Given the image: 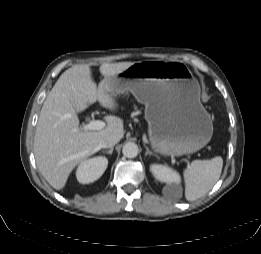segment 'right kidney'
I'll use <instances>...</instances> for the list:
<instances>
[{"label": "right kidney", "instance_id": "ca27d5eb", "mask_svg": "<svg viewBox=\"0 0 261 254\" xmlns=\"http://www.w3.org/2000/svg\"><path fill=\"white\" fill-rule=\"evenodd\" d=\"M108 165L106 157L98 156L82 161L76 171L79 183L89 184L99 179Z\"/></svg>", "mask_w": 261, "mask_h": 254}]
</instances>
